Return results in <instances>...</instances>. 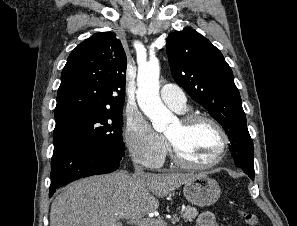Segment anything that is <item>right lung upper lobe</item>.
Segmentation results:
<instances>
[{
	"mask_svg": "<svg viewBox=\"0 0 297 226\" xmlns=\"http://www.w3.org/2000/svg\"><path fill=\"white\" fill-rule=\"evenodd\" d=\"M127 58L111 32L80 43L61 73L55 120L85 111L123 110Z\"/></svg>",
	"mask_w": 297,
	"mask_h": 226,
	"instance_id": "1",
	"label": "right lung upper lobe"
}]
</instances>
